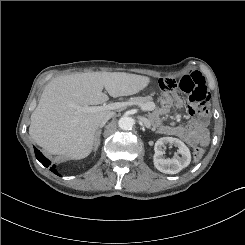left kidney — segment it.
<instances>
[{
  "instance_id": "left-kidney-1",
  "label": "left kidney",
  "mask_w": 245,
  "mask_h": 245,
  "mask_svg": "<svg viewBox=\"0 0 245 245\" xmlns=\"http://www.w3.org/2000/svg\"><path fill=\"white\" fill-rule=\"evenodd\" d=\"M168 144L178 147V152L181 157L177 156L172 159H165L163 157V149ZM154 150V166L157 170L165 174H176L187 167L191 162L189 148L181 140L174 137H162L158 139L155 143Z\"/></svg>"
}]
</instances>
